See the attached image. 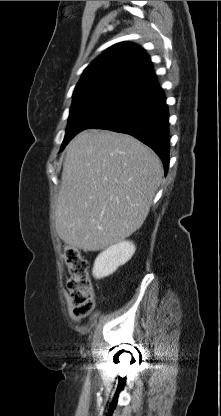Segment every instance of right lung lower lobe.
Returning <instances> with one entry per match:
<instances>
[{
	"mask_svg": "<svg viewBox=\"0 0 221 416\" xmlns=\"http://www.w3.org/2000/svg\"><path fill=\"white\" fill-rule=\"evenodd\" d=\"M168 111L161 87L144 89L126 96L93 128L134 136L151 147L169 167Z\"/></svg>",
	"mask_w": 221,
	"mask_h": 416,
	"instance_id": "98d812e1",
	"label": "right lung lower lobe"
}]
</instances>
